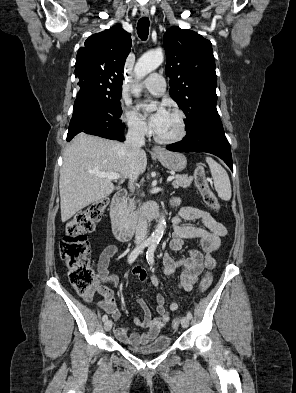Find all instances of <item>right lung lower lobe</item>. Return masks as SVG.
I'll list each match as a JSON object with an SVG mask.
<instances>
[{"mask_svg":"<svg viewBox=\"0 0 296 393\" xmlns=\"http://www.w3.org/2000/svg\"><path fill=\"white\" fill-rule=\"evenodd\" d=\"M123 131L124 124L120 117L114 116L108 109L78 93L69 124L67 141L80 132L124 141Z\"/></svg>","mask_w":296,"mask_h":393,"instance_id":"98d812e1","label":"right lung lower lobe"}]
</instances>
